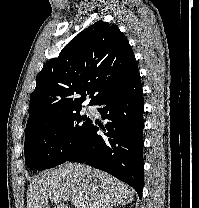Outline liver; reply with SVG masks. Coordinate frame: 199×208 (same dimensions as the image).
I'll list each match as a JSON object with an SVG mask.
<instances>
[{"mask_svg": "<svg viewBox=\"0 0 199 208\" xmlns=\"http://www.w3.org/2000/svg\"><path fill=\"white\" fill-rule=\"evenodd\" d=\"M134 191L110 174L78 163H64L32 179L27 191V208H68L58 204L75 200L80 208H114L133 200Z\"/></svg>", "mask_w": 199, "mask_h": 208, "instance_id": "obj_1", "label": "liver"}]
</instances>
